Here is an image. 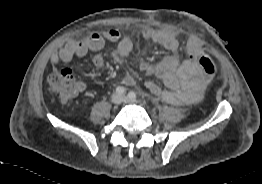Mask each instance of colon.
Wrapping results in <instances>:
<instances>
[{
  "instance_id": "colon-1",
  "label": "colon",
  "mask_w": 262,
  "mask_h": 184,
  "mask_svg": "<svg viewBox=\"0 0 262 184\" xmlns=\"http://www.w3.org/2000/svg\"><path fill=\"white\" fill-rule=\"evenodd\" d=\"M195 58L206 78L208 80L213 79L217 73V66L210 56L199 51L196 53ZM47 82L49 92L62 103L72 100L81 90L80 83L70 69L51 73Z\"/></svg>"
}]
</instances>
